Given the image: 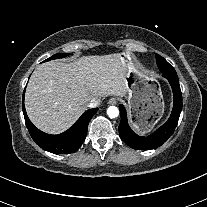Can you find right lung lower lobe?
Listing matches in <instances>:
<instances>
[{
    "instance_id": "1",
    "label": "right lung lower lobe",
    "mask_w": 207,
    "mask_h": 207,
    "mask_svg": "<svg viewBox=\"0 0 207 207\" xmlns=\"http://www.w3.org/2000/svg\"><path fill=\"white\" fill-rule=\"evenodd\" d=\"M22 109L26 126L35 143L44 150L57 154L73 153L78 150L86 138L88 123L98 110V108H95L84 112L76 123L64 133L49 135L40 131L31 123L26 114L24 102H22Z\"/></svg>"
}]
</instances>
